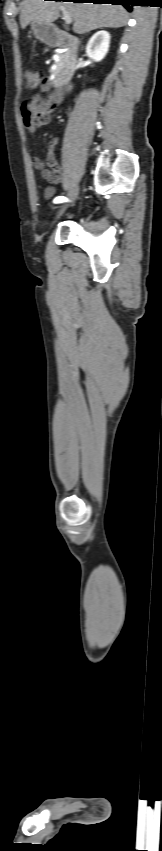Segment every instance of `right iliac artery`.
<instances>
[{"mask_svg":"<svg viewBox=\"0 0 162 851\" xmlns=\"http://www.w3.org/2000/svg\"><path fill=\"white\" fill-rule=\"evenodd\" d=\"M66 201H68V199L64 196H58L54 199V203H61V202H66Z\"/></svg>","mask_w":162,"mask_h":851,"instance_id":"right-iliac-artery-1","label":"right iliac artery"}]
</instances>
